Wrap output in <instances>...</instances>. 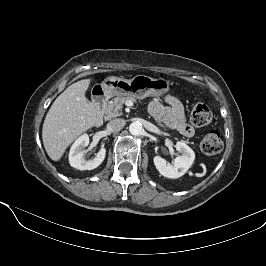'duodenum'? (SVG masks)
Instances as JSON below:
<instances>
[{"label": "duodenum", "instance_id": "410a0bca", "mask_svg": "<svg viewBox=\"0 0 266 266\" xmlns=\"http://www.w3.org/2000/svg\"><path fill=\"white\" fill-rule=\"evenodd\" d=\"M108 99V93L104 89H99L94 92L93 102L95 106V125L100 126L103 121V112Z\"/></svg>", "mask_w": 266, "mask_h": 266}]
</instances>
